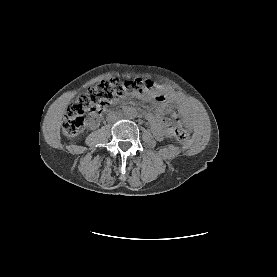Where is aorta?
I'll return each mask as SVG.
<instances>
[{
	"instance_id": "1",
	"label": "aorta",
	"mask_w": 277,
	"mask_h": 277,
	"mask_svg": "<svg viewBox=\"0 0 277 277\" xmlns=\"http://www.w3.org/2000/svg\"><path fill=\"white\" fill-rule=\"evenodd\" d=\"M124 116L127 119H134L137 116V112H136L135 108H133V107H127L124 110Z\"/></svg>"
}]
</instances>
